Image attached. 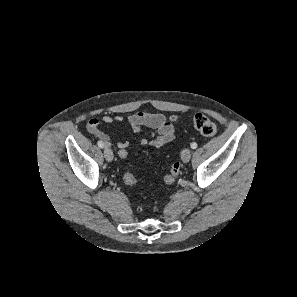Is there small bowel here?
Returning a JSON list of instances; mask_svg holds the SVG:
<instances>
[{"instance_id":"small-bowel-1","label":"small bowel","mask_w":297,"mask_h":297,"mask_svg":"<svg viewBox=\"0 0 297 297\" xmlns=\"http://www.w3.org/2000/svg\"><path fill=\"white\" fill-rule=\"evenodd\" d=\"M124 118L121 115H103L102 121L110 124L113 122H123ZM133 132L138 133L143 127H148L154 131L150 139L141 138L139 144L141 146L149 145L154 148H159L165 144L172 142L175 138V129L164 114L150 113L140 111L130 115L127 118ZM100 121L97 118H91L86 125L87 131L94 137L104 141L106 145H110V137L99 128ZM119 149L127 150L129 142L122 140L117 142Z\"/></svg>"}]
</instances>
